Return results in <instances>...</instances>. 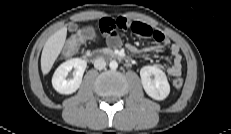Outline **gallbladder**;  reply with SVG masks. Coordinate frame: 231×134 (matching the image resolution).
<instances>
[{
  "mask_svg": "<svg viewBox=\"0 0 231 134\" xmlns=\"http://www.w3.org/2000/svg\"><path fill=\"white\" fill-rule=\"evenodd\" d=\"M77 28H78V26H77L76 24H72V25L70 26V31H76Z\"/></svg>",
  "mask_w": 231,
  "mask_h": 134,
  "instance_id": "1",
  "label": "gallbladder"
}]
</instances>
